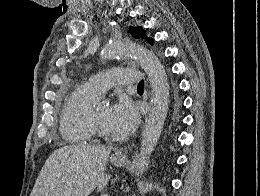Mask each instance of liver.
<instances>
[{
	"label": "liver",
	"mask_w": 260,
	"mask_h": 196,
	"mask_svg": "<svg viewBox=\"0 0 260 196\" xmlns=\"http://www.w3.org/2000/svg\"><path fill=\"white\" fill-rule=\"evenodd\" d=\"M111 148L65 146L46 160L30 196H90L102 192L111 174H105Z\"/></svg>",
	"instance_id": "liver-1"
}]
</instances>
